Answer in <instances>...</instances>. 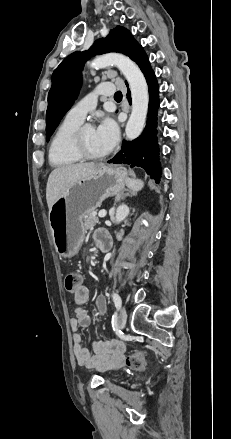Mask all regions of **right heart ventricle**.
Returning a JSON list of instances; mask_svg holds the SVG:
<instances>
[{"mask_svg":"<svg viewBox=\"0 0 231 439\" xmlns=\"http://www.w3.org/2000/svg\"><path fill=\"white\" fill-rule=\"evenodd\" d=\"M81 123L66 116L59 124L48 148V160L51 166L67 168L81 161L71 145L72 135L81 126Z\"/></svg>","mask_w":231,"mask_h":439,"instance_id":"1","label":"right heart ventricle"}]
</instances>
